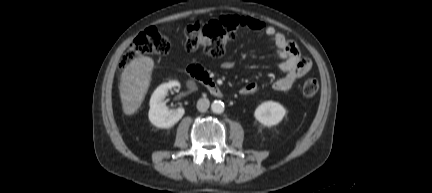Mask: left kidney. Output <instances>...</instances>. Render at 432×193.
I'll use <instances>...</instances> for the list:
<instances>
[{
  "label": "left kidney",
  "mask_w": 432,
  "mask_h": 193,
  "mask_svg": "<svg viewBox=\"0 0 432 193\" xmlns=\"http://www.w3.org/2000/svg\"><path fill=\"white\" fill-rule=\"evenodd\" d=\"M286 114V109L278 102L266 101L261 103L255 110L254 116L264 126L279 124Z\"/></svg>",
  "instance_id": "left-kidney-1"
}]
</instances>
